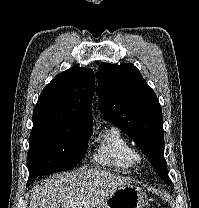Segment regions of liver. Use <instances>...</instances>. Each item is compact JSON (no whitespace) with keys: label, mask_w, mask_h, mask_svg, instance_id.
<instances>
[{"label":"liver","mask_w":199,"mask_h":208,"mask_svg":"<svg viewBox=\"0 0 199 208\" xmlns=\"http://www.w3.org/2000/svg\"><path fill=\"white\" fill-rule=\"evenodd\" d=\"M123 185H128L126 178L105 170L54 174L30 191L29 208H94Z\"/></svg>","instance_id":"1"}]
</instances>
